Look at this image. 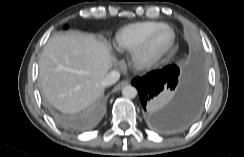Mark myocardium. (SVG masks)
I'll use <instances>...</instances> for the list:
<instances>
[{
  "mask_svg": "<svg viewBox=\"0 0 244 157\" xmlns=\"http://www.w3.org/2000/svg\"><path fill=\"white\" fill-rule=\"evenodd\" d=\"M164 30L170 32V38L162 46L153 48L156 37ZM174 37L173 30L167 25L156 29L140 46L134 49L132 53L133 64L138 68H145L152 65L172 45Z\"/></svg>",
  "mask_w": 244,
  "mask_h": 157,
  "instance_id": "obj_1",
  "label": "myocardium"
}]
</instances>
